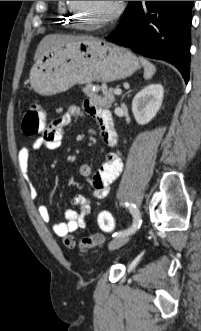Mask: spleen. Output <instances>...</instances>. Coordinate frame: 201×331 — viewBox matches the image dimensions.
<instances>
[{"label":"spleen","mask_w":201,"mask_h":331,"mask_svg":"<svg viewBox=\"0 0 201 331\" xmlns=\"http://www.w3.org/2000/svg\"><path fill=\"white\" fill-rule=\"evenodd\" d=\"M139 59L142 66L144 67V78L146 80L152 78V76L156 72V67L144 57H140Z\"/></svg>","instance_id":"3e777b00"}]
</instances>
